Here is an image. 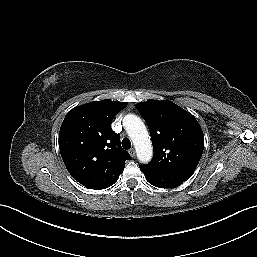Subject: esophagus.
Here are the masks:
<instances>
[{"instance_id":"34e87169","label":"esophagus","mask_w":257,"mask_h":257,"mask_svg":"<svg viewBox=\"0 0 257 257\" xmlns=\"http://www.w3.org/2000/svg\"><path fill=\"white\" fill-rule=\"evenodd\" d=\"M129 154L131 155V157H135V155H136L135 149H134V148H131V149L129 150Z\"/></svg>"}]
</instances>
